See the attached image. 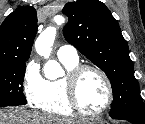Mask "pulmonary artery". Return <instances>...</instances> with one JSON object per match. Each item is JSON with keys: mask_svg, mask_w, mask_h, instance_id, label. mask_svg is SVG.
<instances>
[{"mask_svg": "<svg viewBox=\"0 0 145 124\" xmlns=\"http://www.w3.org/2000/svg\"><path fill=\"white\" fill-rule=\"evenodd\" d=\"M57 57L66 60H78V53L75 47L71 45H63L57 50Z\"/></svg>", "mask_w": 145, "mask_h": 124, "instance_id": "pulmonary-artery-1", "label": "pulmonary artery"}]
</instances>
